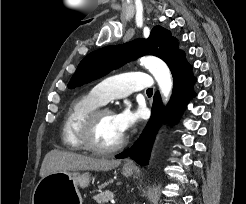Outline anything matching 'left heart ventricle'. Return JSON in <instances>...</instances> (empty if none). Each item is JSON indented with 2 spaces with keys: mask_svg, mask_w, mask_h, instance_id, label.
I'll use <instances>...</instances> for the list:
<instances>
[{
  "mask_svg": "<svg viewBox=\"0 0 246 204\" xmlns=\"http://www.w3.org/2000/svg\"><path fill=\"white\" fill-rule=\"evenodd\" d=\"M123 133L120 131L113 114L103 115L95 128L94 141L100 146H111L117 143L122 137Z\"/></svg>",
  "mask_w": 246,
  "mask_h": 204,
  "instance_id": "left-heart-ventricle-1",
  "label": "left heart ventricle"
}]
</instances>
